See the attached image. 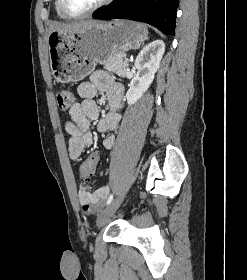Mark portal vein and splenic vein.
Here are the masks:
<instances>
[{
	"label": "portal vein and splenic vein",
	"mask_w": 247,
	"mask_h": 280,
	"mask_svg": "<svg viewBox=\"0 0 247 280\" xmlns=\"http://www.w3.org/2000/svg\"><path fill=\"white\" fill-rule=\"evenodd\" d=\"M125 62H128V59H127V58H125Z\"/></svg>",
	"instance_id": "portal-vein-and-splenic-vein-1"
}]
</instances>
